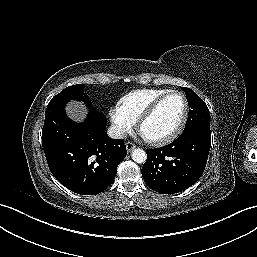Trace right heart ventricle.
<instances>
[{
	"label": "right heart ventricle",
	"mask_w": 257,
	"mask_h": 257,
	"mask_svg": "<svg viewBox=\"0 0 257 257\" xmlns=\"http://www.w3.org/2000/svg\"><path fill=\"white\" fill-rule=\"evenodd\" d=\"M168 91L170 90L166 88L134 90L124 95L119 104L134 121H137L153 101Z\"/></svg>",
	"instance_id": "1"
}]
</instances>
